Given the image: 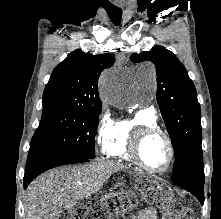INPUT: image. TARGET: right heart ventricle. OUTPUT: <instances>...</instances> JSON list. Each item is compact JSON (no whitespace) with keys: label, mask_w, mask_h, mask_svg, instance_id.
Here are the masks:
<instances>
[{"label":"right heart ventricle","mask_w":221,"mask_h":219,"mask_svg":"<svg viewBox=\"0 0 221 219\" xmlns=\"http://www.w3.org/2000/svg\"><path fill=\"white\" fill-rule=\"evenodd\" d=\"M138 125L157 126L155 113L148 110H140L130 118L115 121L110 143L105 153L112 158L133 162L128 153V144L131 132Z\"/></svg>","instance_id":"e07e8e85"}]
</instances>
